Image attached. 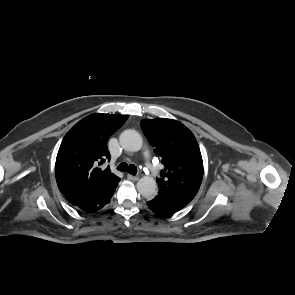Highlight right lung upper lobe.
<instances>
[{
	"label": "right lung upper lobe",
	"instance_id": "1",
	"mask_svg": "<svg viewBox=\"0 0 295 295\" xmlns=\"http://www.w3.org/2000/svg\"><path fill=\"white\" fill-rule=\"evenodd\" d=\"M127 118V115L94 113L68 131L55 164L58 188L66 198L91 194L117 178L109 167L102 170L98 166L110 160L107 141Z\"/></svg>",
	"mask_w": 295,
	"mask_h": 295
}]
</instances>
